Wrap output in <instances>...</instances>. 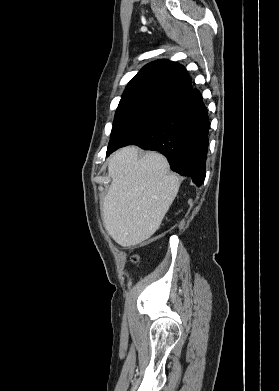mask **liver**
I'll return each mask as SVG.
<instances>
[{"instance_id":"1","label":"liver","mask_w":279,"mask_h":391,"mask_svg":"<svg viewBox=\"0 0 279 391\" xmlns=\"http://www.w3.org/2000/svg\"><path fill=\"white\" fill-rule=\"evenodd\" d=\"M136 146L117 151L109 160L112 178L102 203V219L113 240L123 247L149 239L175 199L180 181L157 152L141 158Z\"/></svg>"}]
</instances>
